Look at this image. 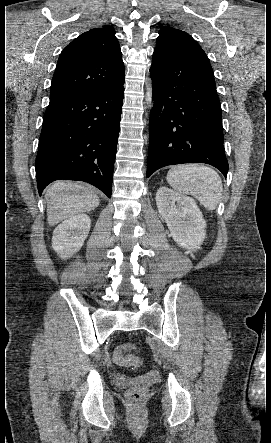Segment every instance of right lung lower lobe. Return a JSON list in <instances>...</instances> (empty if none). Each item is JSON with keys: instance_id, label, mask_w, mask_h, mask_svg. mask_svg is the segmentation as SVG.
Returning <instances> with one entry per match:
<instances>
[{"instance_id": "obj_1", "label": "right lung lower lobe", "mask_w": 271, "mask_h": 443, "mask_svg": "<svg viewBox=\"0 0 271 443\" xmlns=\"http://www.w3.org/2000/svg\"><path fill=\"white\" fill-rule=\"evenodd\" d=\"M123 84L50 99L35 163L40 195L49 183L68 179L111 197Z\"/></svg>"}]
</instances>
